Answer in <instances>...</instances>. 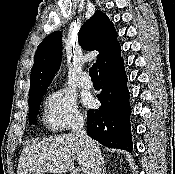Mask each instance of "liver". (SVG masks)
Listing matches in <instances>:
<instances>
[{
	"label": "liver",
	"instance_id": "obj_1",
	"mask_svg": "<svg viewBox=\"0 0 175 174\" xmlns=\"http://www.w3.org/2000/svg\"><path fill=\"white\" fill-rule=\"evenodd\" d=\"M96 145L99 148L98 143ZM75 159L82 172L87 174L91 161L85 145L74 134L56 135L24 147L17 174H30L34 171L41 174L66 173L74 168Z\"/></svg>",
	"mask_w": 175,
	"mask_h": 174
}]
</instances>
